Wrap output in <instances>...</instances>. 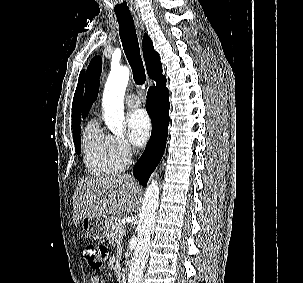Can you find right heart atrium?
Wrapping results in <instances>:
<instances>
[{
  "instance_id": "d8ad5b80",
  "label": "right heart atrium",
  "mask_w": 303,
  "mask_h": 283,
  "mask_svg": "<svg viewBox=\"0 0 303 283\" xmlns=\"http://www.w3.org/2000/svg\"><path fill=\"white\" fill-rule=\"evenodd\" d=\"M110 138L116 155L124 164L128 163L134 153V149L132 148L130 143L123 136L110 135Z\"/></svg>"
}]
</instances>
